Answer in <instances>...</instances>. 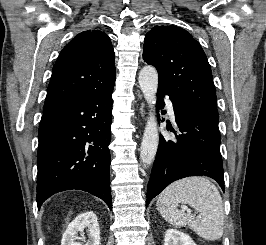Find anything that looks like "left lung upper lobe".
Instances as JSON below:
<instances>
[{"instance_id":"1","label":"left lung upper lobe","mask_w":266,"mask_h":245,"mask_svg":"<svg viewBox=\"0 0 266 245\" xmlns=\"http://www.w3.org/2000/svg\"><path fill=\"white\" fill-rule=\"evenodd\" d=\"M143 59L156 67L158 87L181 102L219 117L207 57L186 30L173 25L153 27L145 36Z\"/></svg>"}]
</instances>
